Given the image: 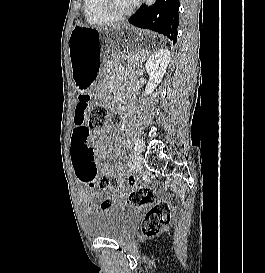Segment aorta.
Segmentation results:
<instances>
[{"mask_svg":"<svg viewBox=\"0 0 265 273\" xmlns=\"http://www.w3.org/2000/svg\"><path fill=\"white\" fill-rule=\"evenodd\" d=\"M156 2V0H145V4L150 6L153 5Z\"/></svg>","mask_w":265,"mask_h":273,"instance_id":"762f6f07","label":"aorta"}]
</instances>
